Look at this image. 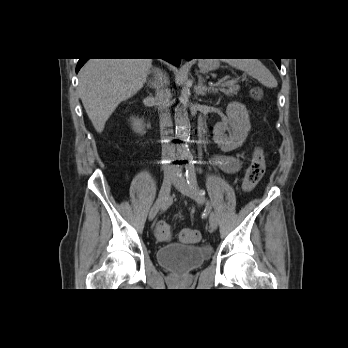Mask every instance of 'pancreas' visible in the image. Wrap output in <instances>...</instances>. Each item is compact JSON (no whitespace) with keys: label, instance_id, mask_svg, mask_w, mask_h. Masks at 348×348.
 <instances>
[{"label":"pancreas","instance_id":"1","mask_svg":"<svg viewBox=\"0 0 348 348\" xmlns=\"http://www.w3.org/2000/svg\"><path fill=\"white\" fill-rule=\"evenodd\" d=\"M240 89V86L237 84V82H233L232 84H229L227 86H221V87H213V92H222L227 96H233L238 93Z\"/></svg>","mask_w":348,"mask_h":348}]
</instances>
